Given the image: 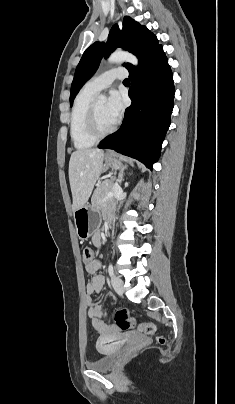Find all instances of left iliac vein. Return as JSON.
Listing matches in <instances>:
<instances>
[{
  "label": "left iliac vein",
  "instance_id": "obj_1",
  "mask_svg": "<svg viewBox=\"0 0 235 404\" xmlns=\"http://www.w3.org/2000/svg\"><path fill=\"white\" fill-rule=\"evenodd\" d=\"M111 284H112V287L114 288V290H115L119 295H122V294H123L124 288H123V281H122L121 278H119V277L116 276V275H113V276L111 277Z\"/></svg>",
  "mask_w": 235,
  "mask_h": 404
}]
</instances>
